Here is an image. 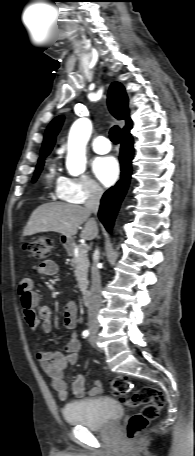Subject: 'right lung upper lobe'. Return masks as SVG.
Here are the masks:
<instances>
[{
	"label": "right lung upper lobe",
	"instance_id": "obj_1",
	"mask_svg": "<svg viewBox=\"0 0 195 456\" xmlns=\"http://www.w3.org/2000/svg\"><path fill=\"white\" fill-rule=\"evenodd\" d=\"M108 106L112 115L118 120H126V126L123 128V134L130 132L131 120L129 118L128 98L125 89L119 82H114L110 86L108 94ZM63 123V116L56 117L48 126L44 135L43 146L40 158L46 157L52 150L57 133ZM39 158V159H40Z\"/></svg>",
	"mask_w": 195,
	"mask_h": 456
}]
</instances>
